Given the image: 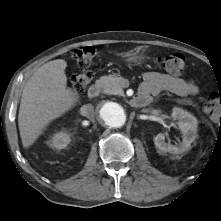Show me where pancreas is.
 Segmentation results:
<instances>
[{
  "mask_svg": "<svg viewBox=\"0 0 221 221\" xmlns=\"http://www.w3.org/2000/svg\"><path fill=\"white\" fill-rule=\"evenodd\" d=\"M97 83L102 88V92L108 95L122 94L120 78L115 75L102 76Z\"/></svg>",
  "mask_w": 221,
  "mask_h": 221,
  "instance_id": "obj_1",
  "label": "pancreas"
}]
</instances>
